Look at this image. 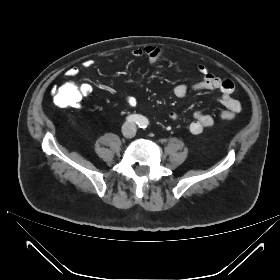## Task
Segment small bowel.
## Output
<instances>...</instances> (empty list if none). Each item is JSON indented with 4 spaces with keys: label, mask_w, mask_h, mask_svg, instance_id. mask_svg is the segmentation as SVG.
<instances>
[{
    "label": "small bowel",
    "mask_w": 280,
    "mask_h": 280,
    "mask_svg": "<svg viewBox=\"0 0 280 280\" xmlns=\"http://www.w3.org/2000/svg\"><path fill=\"white\" fill-rule=\"evenodd\" d=\"M131 54L136 58H146L150 63H156L162 56L161 50L156 46H146L144 48L135 47L131 50ZM94 64L93 60H86L83 63L84 68H90ZM198 71L203 75V80L194 83H180L177 84L173 93L176 97L182 98L187 95L189 91H210L219 90L222 93L219 99V104L222 105L225 110L222 114H231L232 117L242 110L241 103L232 97L235 89L234 82L229 78H221L209 72L207 65L199 64ZM79 74V68L77 66L71 67L67 71V75L70 77H76ZM81 100L89 96L93 91V86L84 82L78 87ZM80 100V101H81ZM124 105L133 107L137 104V99L133 96H126L123 98ZM171 120H177L178 115L175 112L169 114ZM214 124V118L209 114L202 112H195L193 114V121L189 125V130L192 134H201L207 128H210Z\"/></svg>",
    "instance_id": "c3829d8e"
}]
</instances>
